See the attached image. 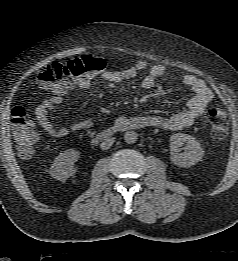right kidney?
I'll return each instance as SVG.
<instances>
[{"label":"right kidney","instance_id":"1","mask_svg":"<svg viewBox=\"0 0 238 261\" xmlns=\"http://www.w3.org/2000/svg\"><path fill=\"white\" fill-rule=\"evenodd\" d=\"M80 158V153L75 149L61 152L54 160L50 174L59 181H66L74 173V163Z\"/></svg>","mask_w":238,"mask_h":261}]
</instances>
